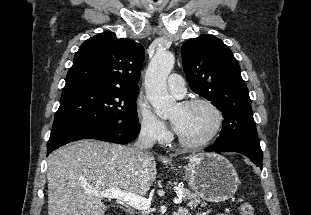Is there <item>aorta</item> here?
I'll use <instances>...</instances> for the list:
<instances>
[{"mask_svg":"<svg viewBox=\"0 0 311 215\" xmlns=\"http://www.w3.org/2000/svg\"><path fill=\"white\" fill-rule=\"evenodd\" d=\"M175 57L169 51H159L152 58L145 75L146 97L160 118H167L176 104L167 92L166 80L174 67Z\"/></svg>","mask_w":311,"mask_h":215,"instance_id":"762f6f07","label":"aorta"}]
</instances>
